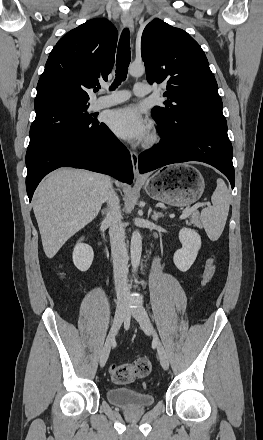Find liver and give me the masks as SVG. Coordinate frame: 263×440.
<instances>
[{
  "label": "liver",
  "mask_w": 263,
  "mask_h": 440,
  "mask_svg": "<svg viewBox=\"0 0 263 440\" xmlns=\"http://www.w3.org/2000/svg\"><path fill=\"white\" fill-rule=\"evenodd\" d=\"M110 188V177L70 168L54 171L38 186L33 211L48 258L98 215Z\"/></svg>",
  "instance_id": "liver-1"
}]
</instances>
